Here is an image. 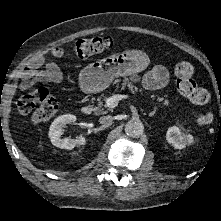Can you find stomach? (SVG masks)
Returning <instances> with one entry per match:
<instances>
[{
  "label": "stomach",
  "instance_id": "0dacf381",
  "mask_svg": "<svg viewBox=\"0 0 221 221\" xmlns=\"http://www.w3.org/2000/svg\"><path fill=\"white\" fill-rule=\"evenodd\" d=\"M150 64L149 56L141 50H126L95 61L79 74V84L87 93L105 90L115 77L136 75Z\"/></svg>",
  "mask_w": 221,
  "mask_h": 221
}]
</instances>
